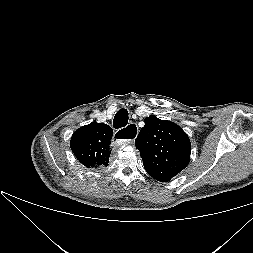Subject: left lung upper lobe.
Returning <instances> with one entry per match:
<instances>
[{
	"mask_svg": "<svg viewBox=\"0 0 253 253\" xmlns=\"http://www.w3.org/2000/svg\"><path fill=\"white\" fill-rule=\"evenodd\" d=\"M144 122L135 145L146 172L158 181L167 182L190 161L189 137L177 124L155 115L145 118Z\"/></svg>",
	"mask_w": 253,
	"mask_h": 253,
	"instance_id": "left-lung-upper-lobe-1",
	"label": "left lung upper lobe"
}]
</instances>
